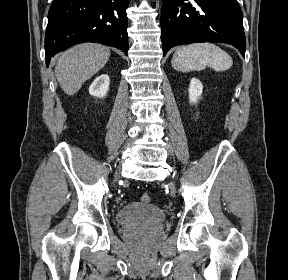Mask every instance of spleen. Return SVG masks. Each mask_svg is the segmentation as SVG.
<instances>
[{
	"label": "spleen",
	"mask_w": 288,
	"mask_h": 280,
	"mask_svg": "<svg viewBox=\"0 0 288 280\" xmlns=\"http://www.w3.org/2000/svg\"><path fill=\"white\" fill-rule=\"evenodd\" d=\"M172 67L180 72L203 70L207 66L215 71L228 70L231 56L213 43H196L178 48L172 57Z\"/></svg>",
	"instance_id": "obj_1"
}]
</instances>
